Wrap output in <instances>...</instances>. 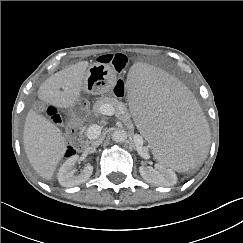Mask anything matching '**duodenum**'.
<instances>
[{
	"label": "duodenum",
	"mask_w": 243,
	"mask_h": 243,
	"mask_svg": "<svg viewBox=\"0 0 243 243\" xmlns=\"http://www.w3.org/2000/svg\"><path fill=\"white\" fill-rule=\"evenodd\" d=\"M80 124L74 119L70 122V124L68 125V132L71 135V137L75 138L77 141V144L79 148H81L84 143L80 137Z\"/></svg>",
	"instance_id": "1"
}]
</instances>
